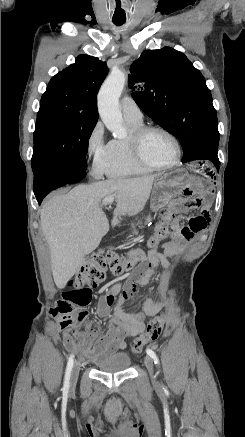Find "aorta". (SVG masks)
Instances as JSON below:
<instances>
[{"label":"aorta","instance_id":"obj_1","mask_svg":"<svg viewBox=\"0 0 245 437\" xmlns=\"http://www.w3.org/2000/svg\"><path fill=\"white\" fill-rule=\"evenodd\" d=\"M125 81V74L120 70L114 69L101 86L98 94L100 117L115 138H123L126 136V130L122 126V114L118 106L119 97L123 91Z\"/></svg>","mask_w":245,"mask_h":437}]
</instances>
